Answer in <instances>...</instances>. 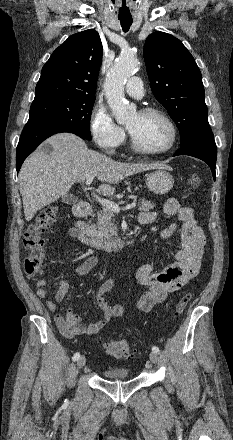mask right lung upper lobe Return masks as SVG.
Segmentation results:
<instances>
[{"mask_svg": "<svg viewBox=\"0 0 233 440\" xmlns=\"http://www.w3.org/2000/svg\"><path fill=\"white\" fill-rule=\"evenodd\" d=\"M101 62L98 32L86 30L70 36L45 63L33 103L57 97L95 98Z\"/></svg>", "mask_w": 233, "mask_h": 440, "instance_id": "right-lung-upper-lobe-1", "label": "right lung upper lobe"}]
</instances>
